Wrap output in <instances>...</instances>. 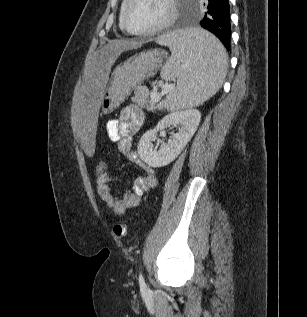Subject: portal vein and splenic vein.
Returning <instances> with one entry per match:
<instances>
[{
    "instance_id": "1",
    "label": "portal vein and splenic vein",
    "mask_w": 307,
    "mask_h": 317,
    "mask_svg": "<svg viewBox=\"0 0 307 317\" xmlns=\"http://www.w3.org/2000/svg\"><path fill=\"white\" fill-rule=\"evenodd\" d=\"M175 85L171 84V85H167L163 88V90L161 91V93H159L158 91L154 90L151 92L150 94V98L153 101H159L161 99V96L163 94L168 93L169 91H171L172 89H174Z\"/></svg>"
}]
</instances>
